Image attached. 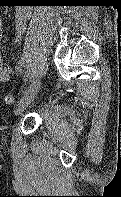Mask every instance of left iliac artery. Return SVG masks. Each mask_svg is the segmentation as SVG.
I'll use <instances>...</instances> for the list:
<instances>
[{
    "mask_svg": "<svg viewBox=\"0 0 121 197\" xmlns=\"http://www.w3.org/2000/svg\"><path fill=\"white\" fill-rule=\"evenodd\" d=\"M29 61V57L28 56H23L17 63L16 65V72L17 73H21L22 70L26 67L27 63ZM24 91V89H22V92Z\"/></svg>",
    "mask_w": 121,
    "mask_h": 197,
    "instance_id": "44dca946",
    "label": "left iliac artery"
}]
</instances>
